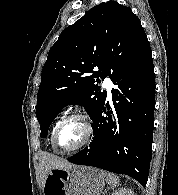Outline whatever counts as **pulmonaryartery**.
I'll use <instances>...</instances> for the list:
<instances>
[{
  "label": "pulmonary artery",
  "instance_id": "1",
  "mask_svg": "<svg viewBox=\"0 0 178 195\" xmlns=\"http://www.w3.org/2000/svg\"><path fill=\"white\" fill-rule=\"evenodd\" d=\"M104 86L107 88L108 95H109V97H110V95H111V89H112V87H113L111 79L106 78V79L104 80Z\"/></svg>",
  "mask_w": 178,
  "mask_h": 195
}]
</instances>
